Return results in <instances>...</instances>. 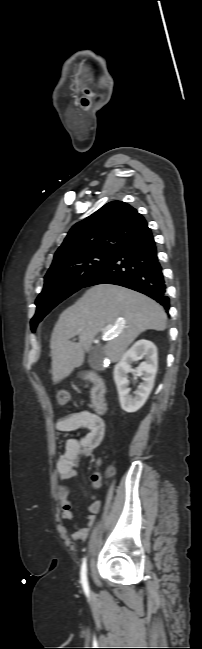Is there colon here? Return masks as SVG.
Masks as SVG:
<instances>
[{"instance_id": "5ec220e1", "label": "colon", "mask_w": 202, "mask_h": 649, "mask_svg": "<svg viewBox=\"0 0 202 649\" xmlns=\"http://www.w3.org/2000/svg\"><path fill=\"white\" fill-rule=\"evenodd\" d=\"M55 398L56 401L59 405L65 406L69 403L70 401V392L66 389H58L55 393ZM106 473L108 475L113 473V468L112 467H107Z\"/></svg>"}]
</instances>
